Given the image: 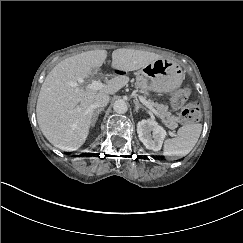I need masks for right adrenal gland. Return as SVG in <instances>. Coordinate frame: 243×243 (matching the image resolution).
<instances>
[{
    "mask_svg": "<svg viewBox=\"0 0 243 243\" xmlns=\"http://www.w3.org/2000/svg\"><path fill=\"white\" fill-rule=\"evenodd\" d=\"M104 111V108H96L93 115H92V119H91V125L94 126L97 119H98V116L99 114Z\"/></svg>",
    "mask_w": 243,
    "mask_h": 243,
    "instance_id": "1",
    "label": "right adrenal gland"
}]
</instances>
